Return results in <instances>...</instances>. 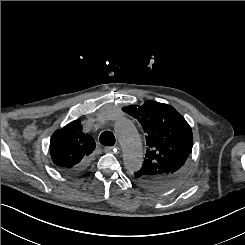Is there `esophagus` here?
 <instances>
[{"label":"esophagus","instance_id":"esophagus-1","mask_svg":"<svg viewBox=\"0 0 245 245\" xmlns=\"http://www.w3.org/2000/svg\"><path fill=\"white\" fill-rule=\"evenodd\" d=\"M114 149H115L114 147H108V146H107V147L104 148V152H105V153H111V152L114 151Z\"/></svg>","mask_w":245,"mask_h":245}]
</instances>
